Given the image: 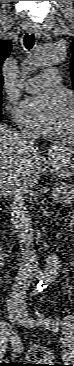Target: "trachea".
<instances>
[{
    "instance_id": "obj_1",
    "label": "trachea",
    "mask_w": 74,
    "mask_h": 366,
    "mask_svg": "<svg viewBox=\"0 0 74 366\" xmlns=\"http://www.w3.org/2000/svg\"><path fill=\"white\" fill-rule=\"evenodd\" d=\"M35 44V36L34 34H28L26 33L24 36V46L27 50H30L33 48Z\"/></svg>"
}]
</instances>
